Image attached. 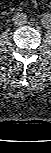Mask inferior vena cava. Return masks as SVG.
Here are the masks:
<instances>
[{
	"instance_id": "1",
	"label": "inferior vena cava",
	"mask_w": 51,
	"mask_h": 153,
	"mask_svg": "<svg viewBox=\"0 0 51 153\" xmlns=\"http://www.w3.org/2000/svg\"><path fill=\"white\" fill-rule=\"evenodd\" d=\"M12 20L15 25H23L27 23L28 18H27V15L24 13H16L14 14Z\"/></svg>"
}]
</instances>
